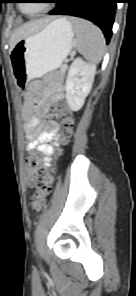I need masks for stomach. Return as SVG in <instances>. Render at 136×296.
<instances>
[{"label":"stomach","instance_id":"obj_1","mask_svg":"<svg viewBox=\"0 0 136 296\" xmlns=\"http://www.w3.org/2000/svg\"><path fill=\"white\" fill-rule=\"evenodd\" d=\"M73 36L70 22L57 18L18 41L10 53L18 90H28L25 83L58 69L72 48Z\"/></svg>","mask_w":136,"mask_h":296}]
</instances>
